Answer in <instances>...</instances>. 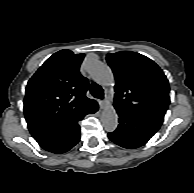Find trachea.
<instances>
[{"label":"trachea","instance_id":"3493384b","mask_svg":"<svg viewBox=\"0 0 194 193\" xmlns=\"http://www.w3.org/2000/svg\"><path fill=\"white\" fill-rule=\"evenodd\" d=\"M90 93L92 94L93 97L103 99L104 98V93L103 89L101 86H99L96 83H92L90 86Z\"/></svg>","mask_w":194,"mask_h":193}]
</instances>
